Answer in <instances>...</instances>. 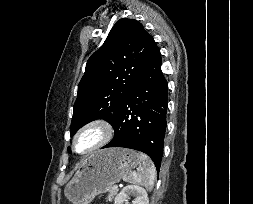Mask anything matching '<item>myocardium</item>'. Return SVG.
I'll return each instance as SVG.
<instances>
[{
    "mask_svg": "<svg viewBox=\"0 0 253 204\" xmlns=\"http://www.w3.org/2000/svg\"><path fill=\"white\" fill-rule=\"evenodd\" d=\"M93 128L100 130V132H101L100 139L93 146H91L88 150H86L84 152H79L76 147L77 140H78L79 136L82 133H84L85 131H87L89 129H93ZM113 136H114V128L110 122H108L107 120H105L103 118L92 119V120L84 123L75 132L73 139H72V149L79 156H88V155L94 153L95 151L106 146L112 140Z\"/></svg>",
    "mask_w": 253,
    "mask_h": 204,
    "instance_id": "1",
    "label": "myocardium"
}]
</instances>
